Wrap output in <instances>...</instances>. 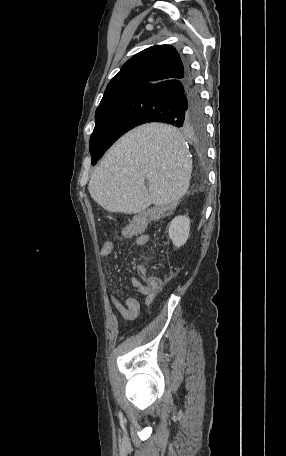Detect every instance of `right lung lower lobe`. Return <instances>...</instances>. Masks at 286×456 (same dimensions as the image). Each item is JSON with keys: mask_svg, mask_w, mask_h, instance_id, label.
<instances>
[{"mask_svg": "<svg viewBox=\"0 0 286 456\" xmlns=\"http://www.w3.org/2000/svg\"><path fill=\"white\" fill-rule=\"evenodd\" d=\"M131 97L139 109V125L162 122L189 133L204 122L202 102L188 66L183 76L147 87Z\"/></svg>", "mask_w": 286, "mask_h": 456, "instance_id": "1", "label": "right lung lower lobe"}]
</instances>
